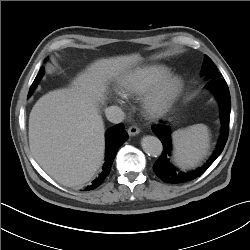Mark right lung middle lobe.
Listing matches in <instances>:
<instances>
[{
	"label": "right lung middle lobe",
	"mask_w": 250,
	"mask_h": 250,
	"mask_svg": "<svg viewBox=\"0 0 250 250\" xmlns=\"http://www.w3.org/2000/svg\"><path fill=\"white\" fill-rule=\"evenodd\" d=\"M44 74V68H41L39 73L37 74L34 82L32 83L31 87H30V90H29V93H28V97L32 94V92L34 91L35 87L37 86L38 82L40 81L41 77L43 76Z\"/></svg>",
	"instance_id": "dd1d6c3e"
}]
</instances>
